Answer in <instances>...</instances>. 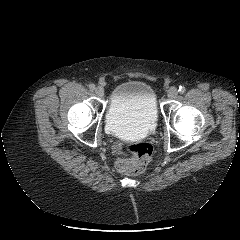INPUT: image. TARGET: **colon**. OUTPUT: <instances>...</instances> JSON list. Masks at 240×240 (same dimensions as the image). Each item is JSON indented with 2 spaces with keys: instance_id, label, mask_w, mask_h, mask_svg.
<instances>
[{
  "instance_id": "5ec220e1",
  "label": "colon",
  "mask_w": 240,
  "mask_h": 240,
  "mask_svg": "<svg viewBox=\"0 0 240 240\" xmlns=\"http://www.w3.org/2000/svg\"><path fill=\"white\" fill-rule=\"evenodd\" d=\"M130 157L120 159L116 167L124 174L136 175L142 173L153 156V146L147 142L130 144L126 146Z\"/></svg>"
}]
</instances>
